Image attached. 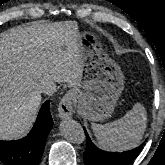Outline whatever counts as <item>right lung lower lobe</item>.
I'll return each instance as SVG.
<instances>
[{"label": "right lung lower lobe", "mask_w": 165, "mask_h": 165, "mask_svg": "<svg viewBox=\"0 0 165 165\" xmlns=\"http://www.w3.org/2000/svg\"><path fill=\"white\" fill-rule=\"evenodd\" d=\"M46 101L37 116L30 133L16 141H0V161L6 165H37L42 157L46 138L53 125Z\"/></svg>", "instance_id": "obj_1"}]
</instances>
